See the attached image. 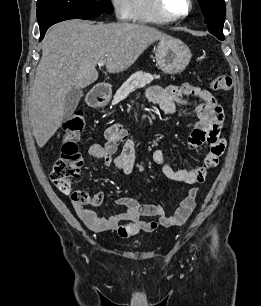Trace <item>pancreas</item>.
Returning <instances> with one entry per match:
<instances>
[{
	"label": "pancreas",
	"mask_w": 261,
	"mask_h": 306,
	"mask_svg": "<svg viewBox=\"0 0 261 306\" xmlns=\"http://www.w3.org/2000/svg\"><path fill=\"white\" fill-rule=\"evenodd\" d=\"M159 75H151L142 71L132 74L127 81L116 91L113 99V104L118 103L120 100L125 99L132 91L137 88H142L150 84L154 79H158Z\"/></svg>",
	"instance_id": "obj_1"
}]
</instances>
